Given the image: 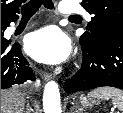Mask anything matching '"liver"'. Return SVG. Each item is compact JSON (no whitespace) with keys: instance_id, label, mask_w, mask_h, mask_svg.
Instances as JSON below:
<instances>
[{"instance_id":"1","label":"liver","mask_w":123,"mask_h":113,"mask_svg":"<svg viewBox=\"0 0 123 113\" xmlns=\"http://www.w3.org/2000/svg\"><path fill=\"white\" fill-rule=\"evenodd\" d=\"M25 95L16 87L10 90H1V113H23Z\"/></svg>"}]
</instances>
